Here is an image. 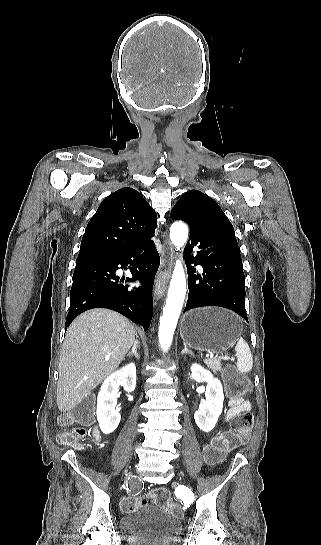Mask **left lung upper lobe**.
Returning <instances> with one entry per match:
<instances>
[{
  "label": "left lung upper lobe",
  "mask_w": 321,
  "mask_h": 545,
  "mask_svg": "<svg viewBox=\"0 0 321 545\" xmlns=\"http://www.w3.org/2000/svg\"><path fill=\"white\" fill-rule=\"evenodd\" d=\"M171 218L187 223H201L213 218L228 219L212 198L198 190L187 191L181 196L171 211Z\"/></svg>",
  "instance_id": "1"
}]
</instances>
